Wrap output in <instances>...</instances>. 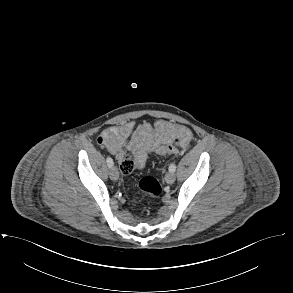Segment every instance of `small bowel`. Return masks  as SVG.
I'll return each mask as SVG.
<instances>
[{"instance_id":"c3829d8e","label":"small bowel","mask_w":293,"mask_h":293,"mask_svg":"<svg viewBox=\"0 0 293 293\" xmlns=\"http://www.w3.org/2000/svg\"><path fill=\"white\" fill-rule=\"evenodd\" d=\"M193 138L191 130L167 120L153 125L134 121L113 125L97 138V143L108 150L119 164L123 174H129L145 166L148 156L161 143L177 139L182 148L189 146Z\"/></svg>"}]
</instances>
